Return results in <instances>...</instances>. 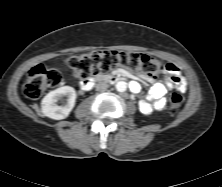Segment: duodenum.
Instances as JSON below:
<instances>
[{
	"mask_svg": "<svg viewBox=\"0 0 222 187\" xmlns=\"http://www.w3.org/2000/svg\"><path fill=\"white\" fill-rule=\"evenodd\" d=\"M128 77L125 74H110V75H99L92 80H87L82 83L83 89H90L96 81H107V82H118L125 81Z\"/></svg>",
	"mask_w": 222,
	"mask_h": 187,
	"instance_id": "duodenum-1",
	"label": "duodenum"
}]
</instances>
